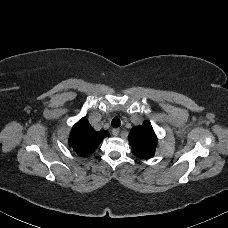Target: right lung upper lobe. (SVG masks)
<instances>
[{
    "instance_id": "cb5924a9",
    "label": "right lung upper lobe",
    "mask_w": 228,
    "mask_h": 228,
    "mask_svg": "<svg viewBox=\"0 0 228 228\" xmlns=\"http://www.w3.org/2000/svg\"><path fill=\"white\" fill-rule=\"evenodd\" d=\"M110 136L107 131H95L86 118L80 119L72 128L69 136V146L82 157L89 156L99 146L101 141Z\"/></svg>"
}]
</instances>
